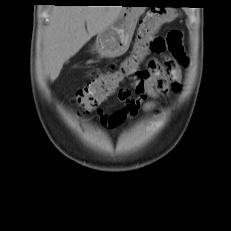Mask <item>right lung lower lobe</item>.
<instances>
[{"label":"right lung lower lobe","instance_id":"1","mask_svg":"<svg viewBox=\"0 0 231 231\" xmlns=\"http://www.w3.org/2000/svg\"><path fill=\"white\" fill-rule=\"evenodd\" d=\"M54 2H57V4H73V3H75V2H71V1H67V0H53Z\"/></svg>","mask_w":231,"mask_h":231}]
</instances>
